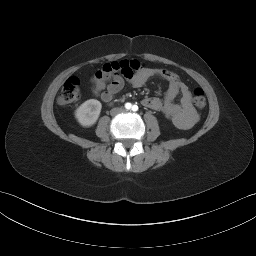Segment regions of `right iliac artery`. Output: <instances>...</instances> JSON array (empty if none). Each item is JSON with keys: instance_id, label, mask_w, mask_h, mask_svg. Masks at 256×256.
Returning <instances> with one entry per match:
<instances>
[{"instance_id": "82829eb1", "label": "right iliac artery", "mask_w": 256, "mask_h": 256, "mask_svg": "<svg viewBox=\"0 0 256 256\" xmlns=\"http://www.w3.org/2000/svg\"><path fill=\"white\" fill-rule=\"evenodd\" d=\"M131 107H132L131 103H126L125 104V108L128 109V110L131 109Z\"/></svg>"}]
</instances>
